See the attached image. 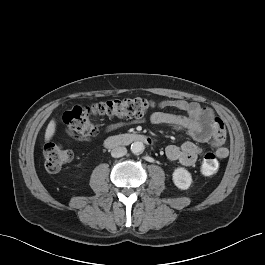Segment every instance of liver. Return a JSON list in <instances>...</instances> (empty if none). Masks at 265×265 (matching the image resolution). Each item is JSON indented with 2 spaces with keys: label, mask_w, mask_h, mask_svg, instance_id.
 Segmentation results:
<instances>
[{
  "label": "liver",
  "mask_w": 265,
  "mask_h": 265,
  "mask_svg": "<svg viewBox=\"0 0 265 265\" xmlns=\"http://www.w3.org/2000/svg\"><path fill=\"white\" fill-rule=\"evenodd\" d=\"M56 130V123L54 120H51L46 128V132H45V141H49Z\"/></svg>",
  "instance_id": "1"
}]
</instances>
